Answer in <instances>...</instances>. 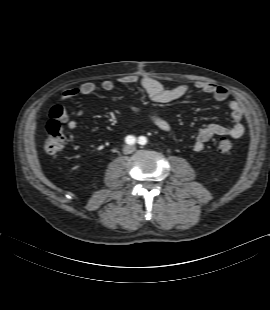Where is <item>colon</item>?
<instances>
[{"instance_id": "1", "label": "colon", "mask_w": 270, "mask_h": 310, "mask_svg": "<svg viewBox=\"0 0 270 310\" xmlns=\"http://www.w3.org/2000/svg\"><path fill=\"white\" fill-rule=\"evenodd\" d=\"M62 108L55 105L50 112V119L46 126L45 151L48 154H57L65 144V134L60 120ZM234 148V142L226 137H222L218 141V149L220 152L229 153Z\"/></svg>"}]
</instances>
